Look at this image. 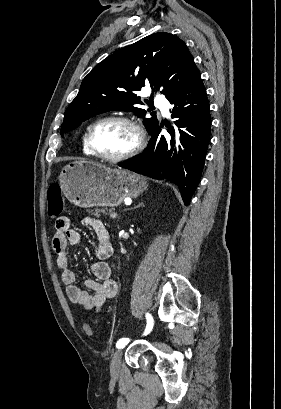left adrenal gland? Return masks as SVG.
Listing matches in <instances>:
<instances>
[{
	"label": "left adrenal gland",
	"mask_w": 281,
	"mask_h": 409,
	"mask_svg": "<svg viewBox=\"0 0 281 409\" xmlns=\"http://www.w3.org/2000/svg\"><path fill=\"white\" fill-rule=\"evenodd\" d=\"M138 207H144V202H139V205H137V207H134V209H138Z\"/></svg>",
	"instance_id": "left-adrenal-gland-1"
}]
</instances>
